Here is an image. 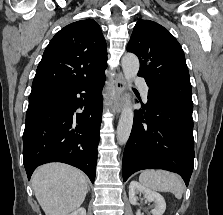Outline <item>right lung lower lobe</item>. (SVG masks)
Here are the masks:
<instances>
[{"mask_svg":"<svg viewBox=\"0 0 223 215\" xmlns=\"http://www.w3.org/2000/svg\"><path fill=\"white\" fill-rule=\"evenodd\" d=\"M102 72L72 91L44 103L28 106L23 133V163L28 180L41 164L63 162L95 179L102 115ZM85 91V94H77ZM85 107L76 114L77 107Z\"/></svg>","mask_w":223,"mask_h":215,"instance_id":"98d812e1","label":"right lung lower lobe"}]
</instances>
